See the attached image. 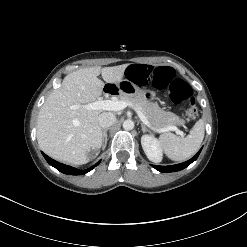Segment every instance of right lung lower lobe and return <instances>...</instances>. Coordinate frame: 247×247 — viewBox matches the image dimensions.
<instances>
[{"label":"right lung lower lobe","instance_id":"1","mask_svg":"<svg viewBox=\"0 0 247 247\" xmlns=\"http://www.w3.org/2000/svg\"><path fill=\"white\" fill-rule=\"evenodd\" d=\"M44 158L46 159V161L53 167H55L56 169H58L60 172L64 173V174H68V175H84L86 174L87 172L91 171L92 169H94L99 163L100 161L94 165L93 167L89 168V169H86V170H78L76 168H73L71 166H68V165H65V164H62L60 162H57L53 159H51L50 157H48L47 155H45L43 152H42Z\"/></svg>","mask_w":247,"mask_h":247}]
</instances>
